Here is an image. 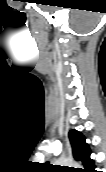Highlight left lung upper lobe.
Segmentation results:
<instances>
[{
	"mask_svg": "<svg viewBox=\"0 0 106 172\" xmlns=\"http://www.w3.org/2000/svg\"><path fill=\"white\" fill-rule=\"evenodd\" d=\"M69 139L74 158L82 162L85 167L81 172H95L94 161L90 159L91 152L88 144L85 142L84 136L76 130H71L69 132Z\"/></svg>",
	"mask_w": 106,
	"mask_h": 172,
	"instance_id": "obj_1",
	"label": "left lung upper lobe"
}]
</instances>
